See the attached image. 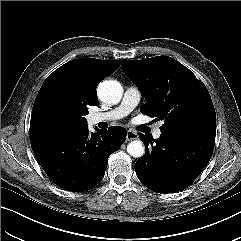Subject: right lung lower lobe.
<instances>
[{
	"label": "right lung lower lobe",
	"mask_w": 241,
	"mask_h": 241,
	"mask_svg": "<svg viewBox=\"0 0 241 241\" xmlns=\"http://www.w3.org/2000/svg\"><path fill=\"white\" fill-rule=\"evenodd\" d=\"M121 126L90 133L84 127L62 135L31 142L35 157L59 187L82 192L95 187L104 177L108 157L125 141Z\"/></svg>",
	"instance_id": "98d812e1"
}]
</instances>
